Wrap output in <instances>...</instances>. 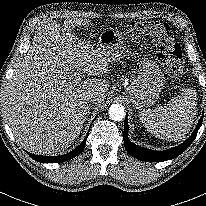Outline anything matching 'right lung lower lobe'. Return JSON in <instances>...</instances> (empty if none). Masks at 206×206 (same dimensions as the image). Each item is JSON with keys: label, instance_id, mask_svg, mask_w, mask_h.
<instances>
[{"label": "right lung lower lobe", "instance_id": "obj_1", "mask_svg": "<svg viewBox=\"0 0 206 206\" xmlns=\"http://www.w3.org/2000/svg\"><path fill=\"white\" fill-rule=\"evenodd\" d=\"M89 132L87 133L86 137L84 138V140L81 142V144L76 147L74 150H72L71 152L61 155V156H39V155H34L31 153H28L32 159L38 161V162H43V163H59V162H64V161H68L74 157H76L78 154H80L82 152V150L85 147V142L86 139L88 137Z\"/></svg>", "mask_w": 206, "mask_h": 206}]
</instances>
